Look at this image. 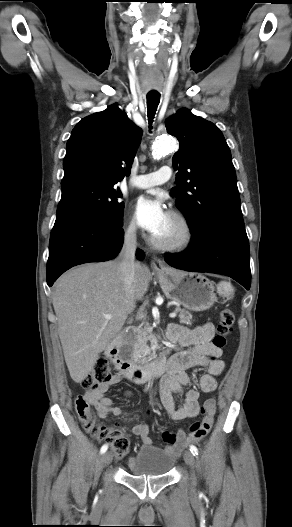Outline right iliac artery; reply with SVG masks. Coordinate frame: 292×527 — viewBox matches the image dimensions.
<instances>
[{
  "label": "right iliac artery",
  "instance_id": "obj_1",
  "mask_svg": "<svg viewBox=\"0 0 292 527\" xmlns=\"http://www.w3.org/2000/svg\"><path fill=\"white\" fill-rule=\"evenodd\" d=\"M107 449H108V445H107V444H104V445L101 447V450H100L101 454L105 453V452L107 451Z\"/></svg>",
  "mask_w": 292,
  "mask_h": 527
}]
</instances>
